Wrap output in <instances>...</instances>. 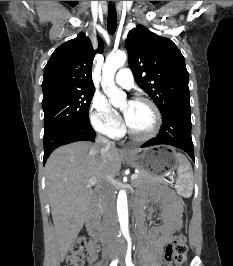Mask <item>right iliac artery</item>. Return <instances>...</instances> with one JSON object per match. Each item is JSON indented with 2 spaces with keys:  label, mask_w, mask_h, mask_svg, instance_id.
<instances>
[{
  "label": "right iliac artery",
  "mask_w": 233,
  "mask_h": 266,
  "mask_svg": "<svg viewBox=\"0 0 233 266\" xmlns=\"http://www.w3.org/2000/svg\"><path fill=\"white\" fill-rule=\"evenodd\" d=\"M118 264V259H115L113 260L111 263H110V266H117Z\"/></svg>",
  "instance_id": "82829eb1"
}]
</instances>
